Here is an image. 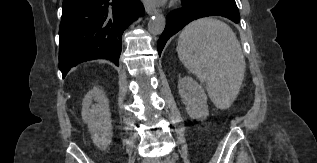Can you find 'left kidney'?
<instances>
[{"label":"left kidney","instance_id":"1","mask_svg":"<svg viewBox=\"0 0 317 163\" xmlns=\"http://www.w3.org/2000/svg\"><path fill=\"white\" fill-rule=\"evenodd\" d=\"M178 91L182 102L186 106L187 114L198 120H203L209 115L207 95L193 78L186 76L179 80Z\"/></svg>","mask_w":317,"mask_h":163}]
</instances>
